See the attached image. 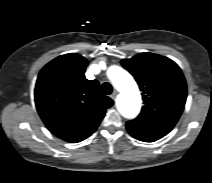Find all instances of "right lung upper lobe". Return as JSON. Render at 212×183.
Instances as JSON below:
<instances>
[{
	"mask_svg": "<svg viewBox=\"0 0 212 183\" xmlns=\"http://www.w3.org/2000/svg\"><path fill=\"white\" fill-rule=\"evenodd\" d=\"M87 64L81 55H61L41 70L35 87L43 122L54 135L71 143L89 137L113 105L100 92L98 81L85 78Z\"/></svg>",
	"mask_w": 212,
	"mask_h": 183,
	"instance_id": "right-lung-upper-lobe-1",
	"label": "right lung upper lobe"
}]
</instances>
